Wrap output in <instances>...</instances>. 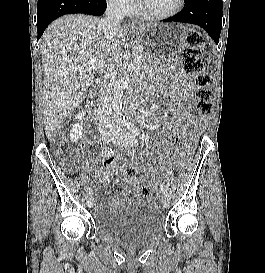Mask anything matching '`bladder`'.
<instances>
[{"label": "bladder", "mask_w": 265, "mask_h": 273, "mask_svg": "<svg viewBox=\"0 0 265 273\" xmlns=\"http://www.w3.org/2000/svg\"><path fill=\"white\" fill-rule=\"evenodd\" d=\"M165 220L160 208L150 203H129L97 219V228L109 240L135 248L160 236Z\"/></svg>", "instance_id": "bladder-1"}]
</instances>
